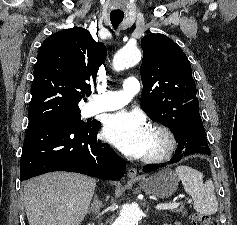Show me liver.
Wrapping results in <instances>:
<instances>
[{"label": "liver", "mask_w": 237, "mask_h": 225, "mask_svg": "<svg viewBox=\"0 0 237 225\" xmlns=\"http://www.w3.org/2000/svg\"><path fill=\"white\" fill-rule=\"evenodd\" d=\"M95 187V179L67 172L28 180L24 184V204L29 225H79Z\"/></svg>", "instance_id": "6515ba94"}]
</instances>
